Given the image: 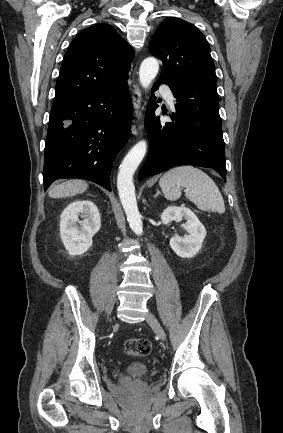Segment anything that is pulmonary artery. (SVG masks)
I'll return each instance as SVG.
<instances>
[{
  "label": "pulmonary artery",
  "instance_id": "e3ab8cb5",
  "mask_svg": "<svg viewBox=\"0 0 283 433\" xmlns=\"http://www.w3.org/2000/svg\"><path fill=\"white\" fill-rule=\"evenodd\" d=\"M158 95H159V96H164L167 105H168L172 110L175 109L176 98L174 97L173 93L171 92V88H170V87H163V86H160V87L158 88Z\"/></svg>",
  "mask_w": 283,
  "mask_h": 433
}]
</instances>
